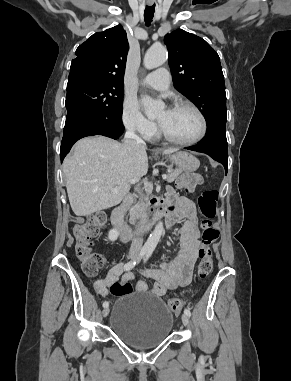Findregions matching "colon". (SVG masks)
Returning <instances> with one entry per match:
<instances>
[{"label": "colon", "instance_id": "obj_1", "mask_svg": "<svg viewBox=\"0 0 291 381\" xmlns=\"http://www.w3.org/2000/svg\"><path fill=\"white\" fill-rule=\"evenodd\" d=\"M201 184L198 176L188 174L179 181V187L187 192L193 191ZM218 193L215 190H207L198 197V205L203 216L201 222L202 237L201 245L198 250L199 263L197 266V275L200 278H206L213 268V249L212 247L219 239V229L213 224L212 220L216 216ZM107 222L104 213H97L89 216L85 222L77 224L73 228L75 238V251L77 258L81 262L84 273L88 276L97 275L98 271L104 266V258L92 250L93 239L103 230ZM110 291L114 296L131 294L133 287L129 283L115 282L111 285ZM169 309L178 313L183 302L180 299H170L168 301Z\"/></svg>", "mask_w": 291, "mask_h": 381}]
</instances>
